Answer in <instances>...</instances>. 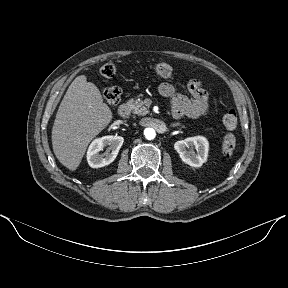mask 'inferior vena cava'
Wrapping results in <instances>:
<instances>
[{
  "label": "inferior vena cava",
  "instance_id": "1",
  "mask_svg": "<svg viewBox=\"0 0 288 288\" xmlns=\"http://www.w3.org/2000/svg\"><path fill=\"white\" fill-rule=\"evenodd\" d=\"M140 126L142 127H153L154 129L158 130L159 133L165 134L167 133L169 126L167 123L164 122L162 119H154V118H142L139 121Z\"/></svg>",
  "mask_w": 288,
  "mask_h": 288
}]
</instances>
